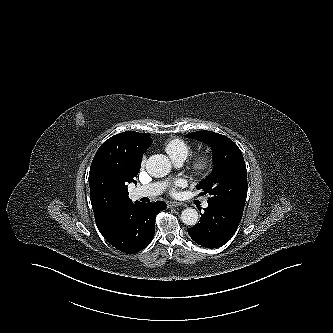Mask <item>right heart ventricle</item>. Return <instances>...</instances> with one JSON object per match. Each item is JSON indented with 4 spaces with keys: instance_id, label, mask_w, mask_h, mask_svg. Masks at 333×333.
Returning <instances> with one entry per match:
<instances>
[{
    "instance_id": "obj_1",
    "label": "right heart ventricle",
    "mask_w": 333,
    "mask_h": 333,
    "mask_svg": "<svg viewBox=\"0 0 333 333\" xmlns=\"http://www.w3.org/2000/svg\"><path fill=\"white\" fill-rule=\"evenodd\" d=\"M164 149L173 161L186 160L192 152L191 145L180 138H173L167 141Z\"/></svg>"
}]
</instances>
